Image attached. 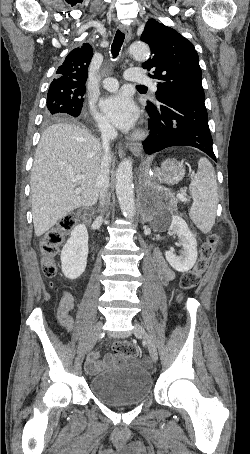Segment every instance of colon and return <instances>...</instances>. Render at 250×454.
Instances as JSON below:
<instances>
[{"instance_id":"1","label":"colon","mask_w":250,"mask_h":454,"mask_svg":"<svg viewBox=\"0 0 250 454\" xmlns=\"http://www.w3.org/2000/svg\"><path fill=\"white\" fill-rule=\"evenodd\" d=\"M76 223L74 215H67L51 228L39 241V250L42 256V271L46 277H54L57 273L56 257L60 252V247L64 241L66 233L71 230ZM220 239L217 235H210L202 244L199 257L195 265L186 271L180 278L179 299L183 298V292L191 290L197 286L201 276L207 270L210 260L217 250ZM114 353L127 358H135L138 354L134 345L128 342H116L113 345Z\"/></svg>"}]
</instances>
